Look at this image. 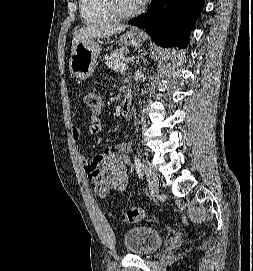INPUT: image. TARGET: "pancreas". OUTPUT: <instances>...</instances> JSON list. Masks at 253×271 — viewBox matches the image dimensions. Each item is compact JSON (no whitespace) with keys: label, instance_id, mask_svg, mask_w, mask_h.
<instances>
[{"label":"pancreas","instance_id":"cf45deb5","mask_svg":"<svg viewBox=\"0 0 253 271\" xmlns=\"http://www.w3.org/2000/svg\"><path fill=\"white\" fill-rule=\"evenodd\" d=\"M126 62L124 51L123 50H115L112 54L108 55L105 58V65L110 68L114 69L115 71H120L117 69V66L120 64H124Z\"/></svg>","mask_w":253,"mask_h":271}]
</instances>
